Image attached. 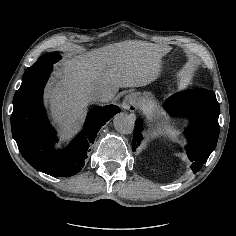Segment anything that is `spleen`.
<instances>
[{"mask_svg":"<svg viewBox=\"0 0 236 236\" xmlns=\"http://www.w3.org/2000/svg\"><path fill=\"white\" fill-rule=\"evenodd\" d=\"M167 136L174 142H178V134L179 132L176 131L175 129L168 127L166 130Z\"/></svg>","mask_w":236,"mask_h":236,"instance_id":"3e777b00","label":"spleen"}]
</instances>
